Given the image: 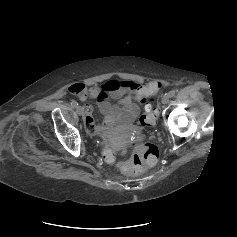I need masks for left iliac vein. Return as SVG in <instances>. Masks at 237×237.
<instances>
[{"label": "left iliac vein", "mask_w": 237, "mask_h": 237, "mask_svg": "<svg viewBox=\"0 0 237 237\" xmlns=\"http://www.w3.org/2000/svg\"><path fill=\"white\" fill-rule=\"evenodd\" d=\"M161 102H162L163 104H167V103L169 102V96H168V94H165V95L162 97Z\"/></svg>", "instance_id": "obj_1"}]
</instances>
